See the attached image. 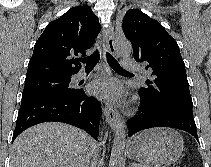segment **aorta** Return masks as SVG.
<instances>
[{
    "mask_svg": "<svg viewBox=\"0 0 211 167\" xmlns=\"http://www.w3.org/2000/svg\"><path fill=\"white\" fill-rule=\"evenodd\" d=\"M115 47L117 53L121 56H127L132 51V45L126 39L117 40ZM125 142L126 123L120 120L117 125L116 135L112 146L109 167H123Z\"/></svg>",
    "mask_w": 211,
    "mask_h": 167,
    "instance_id": "762f6f07",
    "label": "aorta"
}]
</instances>
